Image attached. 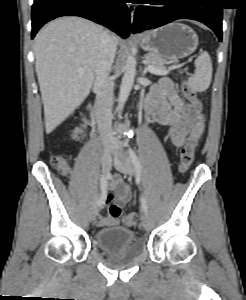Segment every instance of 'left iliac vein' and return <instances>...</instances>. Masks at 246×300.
Instances as JSON below:
<instances>
[{
	"mask_svg": "<svg viewBox=\"0 0 246 300\" xmlns=\"http://www.w3.org/2000/svg\"><path fill=\"white\" fill-rule=\"evenodd\" d=\"M114 166L123 174L130 176L135 174V166L127 156L116 155ZM141 224L145 230H151L153 227L152 218L147 211H143L141 214Z\"/></svg>",
	"mask_w": 246,
	"mask_h": 300,
	"instance_id": "left-iliac-vein-1",
	"label": "left iliac vein"
}]
</instances>
